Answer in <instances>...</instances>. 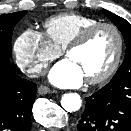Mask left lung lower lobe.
<instances>
[{
    "instance_id": "1",
    "label": "left lung lower lobe",
    "mask_w": 131,
    "mask_h": 131,
    "mask_svg": "<svg viewBox=\"0 0 131 131\" xmlns=\"http://www.w3.org/2000/svg\"><path fill=\"white\" fill-rule=\"evenodd\" d=\"M78 131H131V78L111 81L86 97Z\"/></svg>"
}]
</instances>
